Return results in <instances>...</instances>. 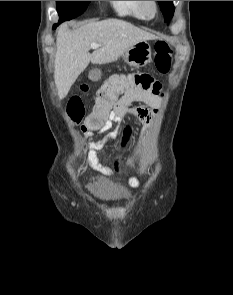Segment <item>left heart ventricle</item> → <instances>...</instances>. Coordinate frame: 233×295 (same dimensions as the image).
Segmentation results:
<instances>
[{"label":"left heart ventricle","mask_w":233,"mask_h":295,"mask_svg":"<svg viewBox=\"0 0 233 295\" xmlns=\"http://www.w3.org/2000/svg\"><path fill=\"white\" fill-rule=\"evenodd\" d=\"M147 10L149 13H152V6L150 4H147Z\"/></svg>","instance_id":"1"}]
</instances>
